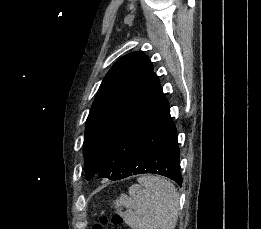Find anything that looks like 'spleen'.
<instances>
[{
    "mask_svg": "<svg viewBox=\"0 0 261 229\" xmlns=\"http://www.w3.org/2000/svg\"><path fill=\"white\" fill-rule=\"evenodd\" d=\"M137 181L138 185L129 187V195H120L114 201L116 213L131 229H175L179 195L173 183L152 175L139 177ZM121 207L127 211L122 213Z\"/></svg>",
    "mask_w": 261,
    "mask_h": 229,
    "instance_id": "1",
    "label": "spleen"
}]
</instances>
